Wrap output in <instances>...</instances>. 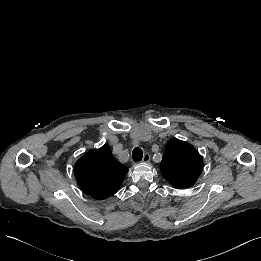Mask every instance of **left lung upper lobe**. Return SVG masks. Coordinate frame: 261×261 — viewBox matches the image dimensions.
Instances as JSON below:
<instances>
[{"label":"left lung upper lobe","instance_id":"left-lung-upper-lobe-1","mask_svg":"<svg viewBox=\"0 0 261 261\" xmlns=\"http://www.w3.org/2000/svg\"><path fill=\"white\" fill-rule=\"evenodd\" d=\"M160 170L175 188L190 187L203 170V159L188 142L171 139L166 145Z\"/></svg>","mask_w":261,"mask_h":261}]
</instances>
